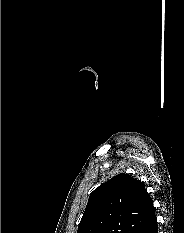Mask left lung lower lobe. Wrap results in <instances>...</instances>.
<instances>
[{
	"label": "left lung lower lobe",
	"mask_w": 184,
	"mask_h": 233,
	"mask_svg": "<svg viewBox=\"0 0 184 233\" xmlns=\"http://www.w3.org/2000/svg\"><path fill=\"white\" fill-rule=\"evenodd\" d=\"M141 233H158L157 219L155 215L154 207L150 211L149 217Z\"/></svg>",
	"instance_id": "left-lung-lower-lobe-1"
}]
</instances>
